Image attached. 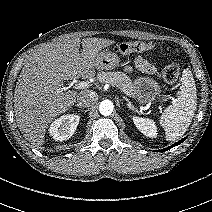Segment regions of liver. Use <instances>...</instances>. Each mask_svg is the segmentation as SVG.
Wrapping results in <instances>:
<instances>
[{
    "instance_id": "obj_1",
    "label": "liver",
    "mask_w": 212,
    "mask_h": 212,
    "mask_svg": "<svg viewBox=\"0 0 212 212\" xmlns=\"http://www.w3.org/2000/svg\"><path fill=\"white\" fill-rule=\"evenodd\" d=\"M80 42L82 45L79 53ZM114 43L103 38L61 37L33 51L24 63L14 90L17 126L35 146L44 144L46 129L57 116L68 111L80 93L63 92V81L96 75L99 52Z\"/></svg>"
}]
</instances>
